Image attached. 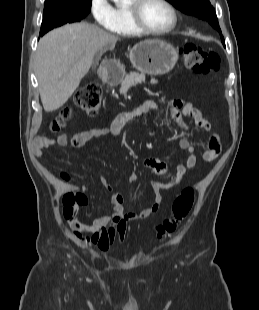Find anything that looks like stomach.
Listing matches in <instances>:
<instances>
[{
	"instance_id": "obj_1",
	"label": "stomach",
	"mask_w": 259,
	"mask_h": 310,
	"mask_svg": "<svg viewBox=\"0 0 259 310\" xmlns=\"http://www.w3.org/2000/svg\"><path fill=\"white\" fill-rule=\"evenodd\" d=\"M129 57L138 71L150 75H162L173 69L178 60V52L171 44L152 39L136 44L131 49Z\"/></svg>"
}]
</instances>
